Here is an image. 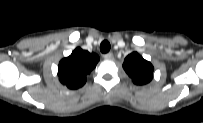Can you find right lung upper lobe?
Segmentation results:
<instances>
[{"mask_svg":"<svg viewBox=\"0 0 203 123\" xmlns=\"http://www.w3.org/2000/svg\"><path fill=\"white\" fill-rule=\"evenodd\" d=\"M99 61V56L77 47L70 56L59 62L58 76L62 84L77 89L86 82L87 75Z\"/></svg>","mask_w":203,"mask_h":123,"instance_id":"obj_1","label":"right lung upper lobe"}]
</instances>
